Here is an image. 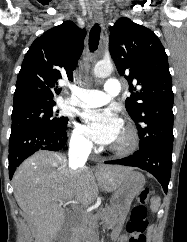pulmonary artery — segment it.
<instances>
[{
  "mask_svg": "<svg viewBox=\"0 0 187 242\" xmlns=\"http://www.w3.org/2000/svg\"><path fill=\"white\" fill-rule=\"evenodd\" d=\"M120 88V82L115 78L106 80L103 91L72 87L70 103L80 107L101 106L106 104L112 97L118 95Z\"/></svg>",
  "mask_w": 187,
  "mask_h": 242,
  "instance_id": "e3ab8cb5",
  "label": "pulmonary artery"
}]
</instances>
